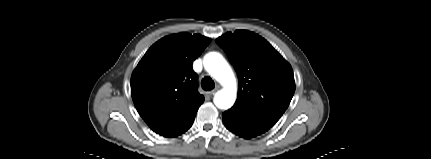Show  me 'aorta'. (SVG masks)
<instances>
[{"mask_svg":"<svg viewBox=\"0 0 431 159\" xmlns=\"http://www.w3.org/2000/svg\"><path fill=\"white\" fill-rule=\"evenodd\" d=\"M206 71L218 81L223 88L214 96V104L219 109L227 110L233 106L237 96V84L234 73L223 58L217 52H210L203 60Z\"/></svg>","mask_w":431,"mask_h":159,"instance_id":"obj_1","label":"aorta"}]
</instances>
